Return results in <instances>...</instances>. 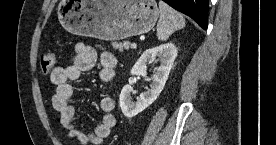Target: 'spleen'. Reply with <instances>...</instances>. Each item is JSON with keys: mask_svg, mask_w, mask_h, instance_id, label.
<instances>
[{"mask_svg": "<svg viewBox=\"0 0 276 145\" xmlns=\"http://www.w3.org/2000/svg\"><path fill=\"white\" fill-rule=\"evenodd\" d=\"M160 18L157 24V37L166 41L169 36L185 26L183 16L164 1H159Z\"/></svg>", "mask_w": 276, "mask_h": 145, "instance_id": "3e777b00", "label": "spleen"}]
</instances>
